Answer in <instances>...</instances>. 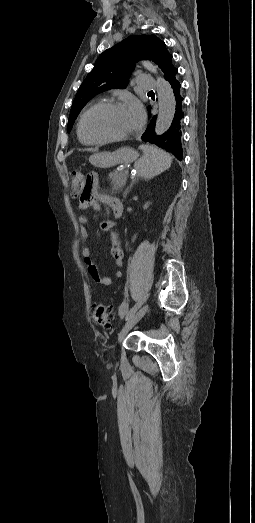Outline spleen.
<instances>
[{
	"instance_id": "spleen-1",
	"label": "spleen",
	"mask_w": 255,
	"mask_h": 523,
	"mask_svg": "<svg viewBox=\"0 0 255 523\" xmlns=\"http://www.w3.org/2000/svg\"><path fill=\"white\" fill-rule=\"evenodd\" d=\"M140 150H142L143 156L135 162L134 168L141 178L151 180L170 168L172 158L164 150H160L156 146H140Z\"/></svg>"
}]
</instances>
